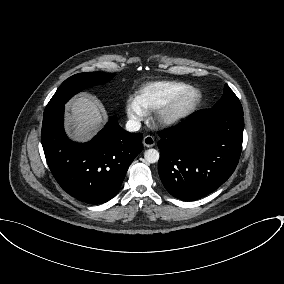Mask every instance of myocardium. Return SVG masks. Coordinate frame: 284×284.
I'll return each instance as SVG.
<instances>
[{
	"mask_svg": "<svg viewBox=\"0 0 284 284\" xmlns=\"http://www.w3.org/2000/svg\"><path fill=\"white\" fill-rule=\"evenodd\" d=\"M202 92L190 87L157 110L155 121L163 127H174L188 119L200 106Z\"/></svg>",
	"mask_w": 284,
	"mask_h": 284,
	"instance_id": "1",
	"label": "myocardium"
}]
</instances>
